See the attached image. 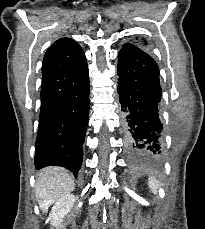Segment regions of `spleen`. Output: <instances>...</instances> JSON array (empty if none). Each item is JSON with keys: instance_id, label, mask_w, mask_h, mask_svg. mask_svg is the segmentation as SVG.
Listing matches in <instances>:
<instances>
[{"instance_id": "3e777b00", "label": "spleen", "mask_w": 205, "mask_h": 229, "mask_svg": "<svg viewBox=\"0 0 205 229\" xmlns=\"http://www.w3.org/2000/svg\"><path fill=\"white\" fill-rule=\"evenodd\" d=\"M148 185H149L151 191L155 194L157 192L158 182L154 178H150Z\"/></svg>"}]
</instances>
